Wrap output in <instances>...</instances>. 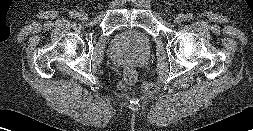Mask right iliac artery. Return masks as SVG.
<instances>
[{
    "label": "right iliac artery",
    "mask_w": 253,
    "mask_h": 131,
    "mask_svg": "<svg viewBox=\"0 0 253 131\" xmlns=\"http://www.w3.org/2000/svg\"><path fill=\"white\" fill-rule=\"evenodd\" d=\"M70 16H71L72 18H76V17H78V12H77V11H71V12H70Z\"/></svg>",
    "instance_id": "right-iliac-artery-1"
}]
</instances>
